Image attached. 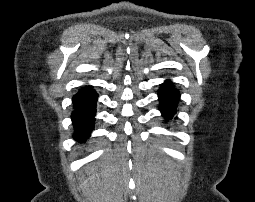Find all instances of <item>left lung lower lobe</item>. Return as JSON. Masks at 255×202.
Instances as JSON below:
<instances>
[{
	"label": "left lung lower lobe",
	"mask_w": 255,
	"mask_h": 202,
	"mask_svg": "<svg viewBox=\"0 0 255 202\" xmlns=\"http://www.w3.org/2000/svg\"><path fill=\"white\" fill-rule=\"evenodd\" d=\"M180 93L177 89L174 88L173 83L166 80L161 84L158 98L160 101L159 110L162 113V116L166 120H170L177 112V104L179 102Z\"/></svg>",
	"instance_id": "obj_1"
}]
</instances>
